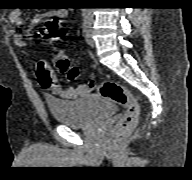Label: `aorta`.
Returning <instances> with one entry per match:
<instances>
[{"instance_id": "1", "label": "aorta", "mask_w": 192, "mask_h": 180, "mask_svg": "<svg viewBox=\"0 0 192 180\" xmlns=\"http://www.w3.org/2000/svg\"><path fill=\"white\" fill-rule=\"evenodd\" d=\"M84 10H85V12L87 13V15H90V14H91V9H90V8H85Z\"/></svg>"}]
</instances>
